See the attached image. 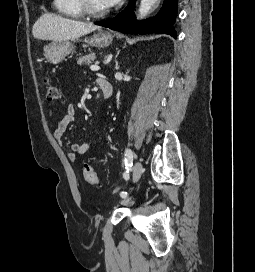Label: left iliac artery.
Instances as JSON below:
<instances>
[{"label":"left iliac artery","instance_id":"left-iliac-artery-1","mask_svg":"<svg viewBox=\"0 0 255 272\" xmlns=\"http://www.w3.org/2000/svg\"><path fill=\"white\" fill-rule=\"evenodd\" d=\"M133 165V152L131 149H126L125 150V166L127 171L123 173L124 178L126 179V181H129V173H128V169ZM121 197L126 198L127 197V193L125 192H121Z\"/></svg>","mask_w":255,"mask_h":272}]
</instances>
